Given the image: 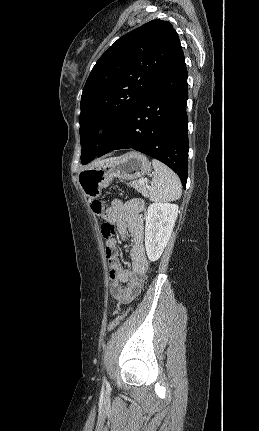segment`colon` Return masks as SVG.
<instances>
[{"instance_id": "colon-1", "label": "colon", "mask_w": 259, "mask_h": 431, "mask_svg": "<svg viewBox=\"0 0 259 431\" xmlns=\"http://www.w3.org/2000/svg\"><path fill=\"white\" fill-rule=\"evenodd\" d=\"M91 209L97 215L98 219H100V220L105 219V217H106L105 203L103 201L94 200L91 203ZM114 233H115V226L113 223L105 222L101 225V235L105 240L112 238ZM126 314H127V311H125L123 313H119L118 315H116L113 318V320L110 322V324L108 326V330L109 331L115 330L120 325L121 321L124 319Z\"/></svg>"}]
</instances>
